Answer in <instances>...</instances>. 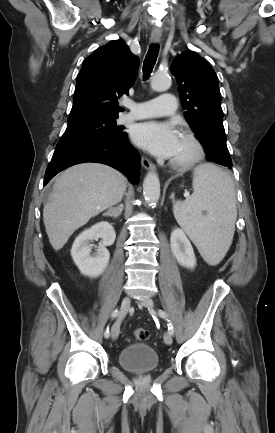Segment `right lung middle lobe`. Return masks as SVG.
<instances>
[{"label": "right lung middle lobe", "instance_id": "obj_1", "mask_svg": "<svg viewBox=\"0 0 275 433\" xmlns=\"http://www.w3.org/2000/svg\"><path fill=\"white\" fill-rule=\"evenodd\" d=\"M118 116L85 115L68 118V126L58 143L64 141H107L124 136L122 127H116Z\"/></svg>", "mask_w": 275, "mask_h": 433}]
</instances>
